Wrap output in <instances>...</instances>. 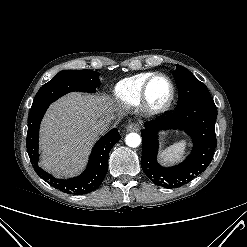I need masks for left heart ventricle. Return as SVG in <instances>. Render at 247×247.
<instances>
[{"label": "left heart ventricle", "instance_id": "left-heart-ventricle-1", "mask_svg": "<svg viewBox=\"0 0 247 247\" xmlns=\"http://www.w3.org/2000/svg\"><path fill=\"white\" fill-rule=\"evenodd\" d=\"M170 95L169 83L164 78L155 79L149 88V97L154 104L164 103Z\"/></svg>", "mask_w": 247, "mask_h": 247}]
</instances>
